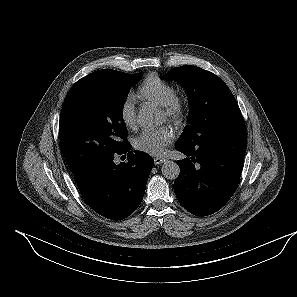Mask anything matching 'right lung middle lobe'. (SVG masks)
Instances as JSON below:
<instances>
[{
    "label": "right lung middle lobe",
    "mask_w": 297,
    "mask_h": 297,
    "mask_svg": "<svg viewBox=\"0 0 297 297\" xmlns=\"http://www.w3.org/2000/svg\"><path fill=\"white\" fill-rule=\"evenodd\" d=\"M142 74L114 71L103 79L75 83L60 116L59 138L72 173L89 162L112 156L129 143L123 121V105L130 86Z\"/></svg>",
    "instance_id": "obj_1"
}]
</instances>
